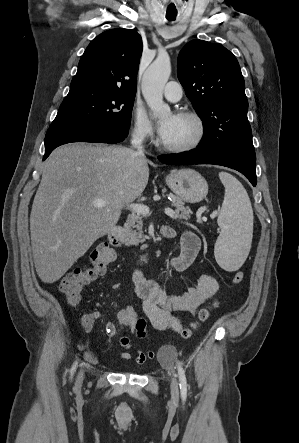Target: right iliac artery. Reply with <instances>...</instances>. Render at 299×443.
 Returning <instances> with one entry per match:
<instances>
[{
    "label": "right iliac artery",
    "instance_id": "82829eb1",
    "mask_svg": "<svg viewBox=\"0 0 299 443\" xmlns=\"http://www.w3.org/2000/svg\"><path fill=\"white\" fill-rule=\"evenodd\" d=\"M76 367H77V362H75V363L73 364V366H72V368H71V370H70L71 377L73 376V374H74V372H75V370H76Z\"/></svg>",
    "mask_w": 299,
    "mask_h": 443
}]
</instances>
